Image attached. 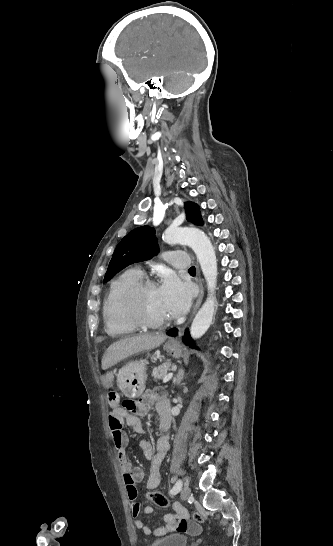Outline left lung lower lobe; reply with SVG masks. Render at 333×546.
Masks as SVG:
<instances>
[{"label": "left lung lower lobe", "instance_id": "1", "mask_svg": "<svg viewBox=\"0 0 333 546\" xmlns=\"http://www.w3.org/2000/svg\"><path fill=\"white\" fill-rule=\"evenodd\" d=\"M178 334V330L175 328V329H171L167 332V335L169 336H177ZM182 340L183 342L187 345V346H190L192 348H196L195 347V342L192 340L191 336H190V333L188 331V329L185 331V335L182 337Z\"/></svg>", "mask_w": 333, "mask_h": 546}]
</instances>
